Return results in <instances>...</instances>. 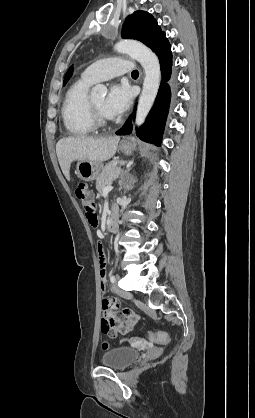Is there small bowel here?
<instances>
[{"label":"small bowel","mask_w":255,"mask_h":418,"mask_svg":"<svg viewBox=\"0 0 255 418\" xmlns=\"http://www.w3.org/2000/svg\"><path fill=\"white\" fill-rule=\"evenodd\" d=\"M105 247L106 242L104 240H99L97 242V248L95 249V254L99 256L100 283L102 290L105 289L106 285ZM102 306L104 315L102 318L101 329L103 333L108 334L111 337L129 331L139 319L138 315L128 308L119 310V302L116 299L104 298L102 300ZM124 320L125 325H122Z\"/></svg>","instance_id":"1"}]
</instances>
